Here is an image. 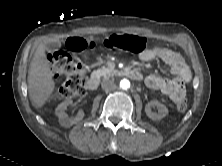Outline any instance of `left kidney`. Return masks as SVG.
Here are the masks:
<instances>
[{"mask_svg":"<svg viewBox=\"0 0 222 166\" xmlns=\"http://www.w3.org/2000/svg\"><path fill=\"white\" fill-rule=\"evenodd\" d=\"M155 106L159 109L158 113L152 112V107ZM145 112L150 119L161 120L163 117H165L168 114V109L164 104L160 103L159 101L152 100L145 106Z\"/></svg>","mask_w":222,"mask_h":166,"instance_id":"left-kidney-1","label":"left kidney"}]
</instances>
